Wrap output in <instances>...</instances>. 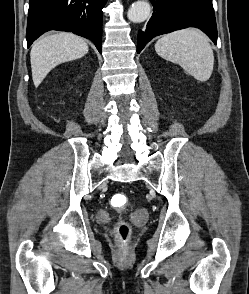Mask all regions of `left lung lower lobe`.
I'll use <instances>...</instances> for the list:
<instances>
[{"label": "left lung lower lobe", "instance_id": "left-lung-lower-lobe-1", "mask_svg": "<svg viewBox=\"0 0 249 294\" xmlns=\"http://www.w3.org/2000/svg\"><path fill=\"white\" fill-rule=\"evenodd\" d=\"M154 12L145 31L139 30L137 53L155 36L197 27L217 43V27L212 0H150Z\"/></svg>", "mask_w": 249, "mask_h": 294}]
</instances>
